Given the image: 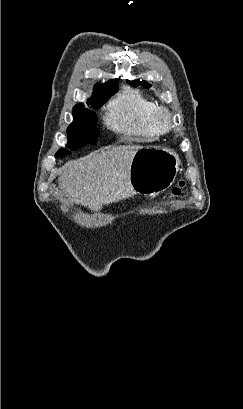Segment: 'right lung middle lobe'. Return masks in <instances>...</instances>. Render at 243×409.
I'll list each match as a JSON object with an SVG mask.
<instances>
[{"instance_id": "dd1d6c3e", "label": "right lung middle lobe", "mask_w": 243, "mask_h": 409, "mask_svg": "<svg viewBox=\"0 0 243 409\" xmlns=\"http://www.w3.org/2000/svg\"><path fill=\"white\" fill-rule=\"evenodd\" d=\"M116 93L112 92L103 97L101 101L92 105L93 108L101 107L110 96ZM74 121L67 129L68 144L66 148L71 151L84 147L87 144H95V139L98 137V129L96 127L97 118L94 112L89 109H77L73 111ZM66 148H61L56 154V157H64L69 154Z\"/></svg>"}]
</instances>
